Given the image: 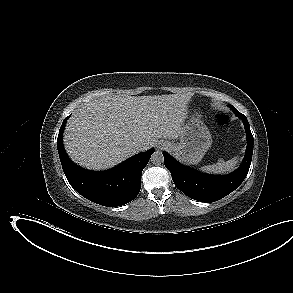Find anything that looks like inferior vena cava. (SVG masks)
<instances>
[{
	"mask_svg": "<svg viewBox=\"0 0 293 293\" xmlns=\"http://www.w3.org/2000/svg\"><path fill=\"white\" fill-rule=\"evenodd\" d=\"M136 147H137V149H138L139 151H144V150L149 149V146H148V145H143V144H141V143L136 144Z\"/></svg>",
	"mask_w": 293,
	"mask_h": 293,
	"instance_id": "obj_1",
	"label": "inferior vena cava"
}]
</instances>
